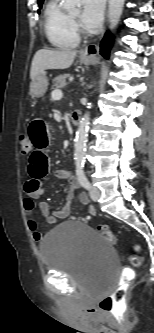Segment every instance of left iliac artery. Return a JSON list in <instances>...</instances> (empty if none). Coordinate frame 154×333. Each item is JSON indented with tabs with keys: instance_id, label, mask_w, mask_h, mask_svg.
<instances>
[{
	"instance_id": "left-iliac-artery-1",
	"label": "left iliac artery",
	"mask_w": 154,
	"mask_h": 333,
	"mask_svg": "<svg viewBox=\"0 0 154 333\" xmlns=\"http://www.w3.org/2000/svg\"><path fill=\"white\" fill-rule=\"evenodd\" d=\"M76 175L79 183L85 188L89 189L90 188V183L85 175V171L82 167H78L76 169Z\"/></svg>"
}]
</instances>
